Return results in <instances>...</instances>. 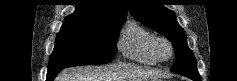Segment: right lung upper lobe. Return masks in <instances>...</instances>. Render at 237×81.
I'll use <instances>...</instances> for the list:
<instances>
[{"mask_svg": "<svg viewBox=\"0 0 237 81\" xmlns=\"http://www.w3.org/2000/svg\"><path fill=\"white\" fill-rule=\"evenodd\" d=\"M75 12L64 21H86V22H115L124 21L127 14V5L121 4L122 0H78ZM98 1L113 2L102 4Z\"/></svg>", "mask_w": 237, "mask_h": 81, "instance_id": "cb5924a9", "label": "right lung upper lobe"}]
</instances>
